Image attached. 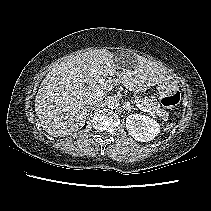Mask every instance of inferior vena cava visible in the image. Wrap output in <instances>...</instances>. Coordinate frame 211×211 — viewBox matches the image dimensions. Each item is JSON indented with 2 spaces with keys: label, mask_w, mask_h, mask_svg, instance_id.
Returning a JSON list of instances; mask_svg holds the SVG:
<instances>
[{
  "label": "inferior vena cava",
  "mask_w": 211,
  "mask_h": 211,
  "mask_svg": "<svg viewBox=\"0 0 211 211\" xmlns=\"http://www.w3.org/2000/svg\"><path fill=\"white\" fill-rule=\"evenodd\" d=\"M106 93L103 91H99L94 93L93 95L88 97V105H95L98 102L102 101L105 97Z\"/></svg>",
  "instance_id": "602c4592"
}]
</instances>
